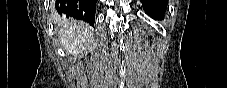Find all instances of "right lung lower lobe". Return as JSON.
Listing matches in <instances>:
<instances>
[{"label":"right lung lower lobe","instance_id":"1","mask_svg":"<svg viewBox=\"0 0 227 88\" xmlns=\"http://www.w3.org/2000/svg\"><path fill=\"white\" fill-rule=\"evenodd\" d=\"M97 0H56L57 12L67 18L83 20L94 26Z\"/></svg>","mask_w":227,"mask_h":88}]
</instances>
